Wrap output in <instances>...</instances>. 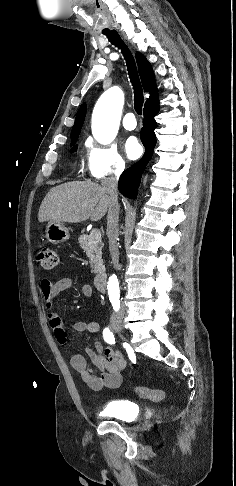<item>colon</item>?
<instances>
[{"label": "colon", "mask_w": 236, "mask_h": 486, "mask_svg": "<svg viewBox=\"0 0 236 486\" xmlns=\"http://www.w3.org/2000/svg\"><path fill=\"white\" fill-rule=\"evenodd\" d=\"M37 260L44 270H52L59 263L58 253L49 247L41 248L37 253ZM137 395L152 402H160L165 398L163 390H152L144 386H137L135 388Z\"/></svg>", "instance_id": "1"}]
</instances>
